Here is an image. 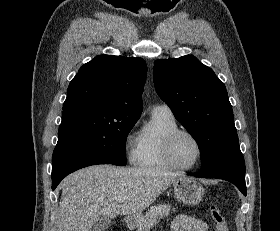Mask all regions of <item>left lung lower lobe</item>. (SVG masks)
<instances>
[{
  "instance_id": "1",
  "label": "left lung lower lobe",
  "mask_w": 280,
  "mask_h": 231,
  "mask_svg": "<svg viewBox=\"0 0 280 231\" xmlns=\"http://www.w3.org/2000/svg\"><path fill=\"white\" fill-rule=\"evenodd\" d=\"M196 177L223 179L233 183L245 196V162L240 150L220 157L211 165L203 168L201 172L189 173Z\"/></svg>"
}]
</instances>
